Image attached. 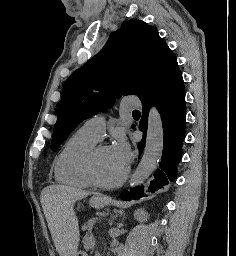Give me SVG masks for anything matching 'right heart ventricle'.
Wrapping results in <instances>:
<instances>
[{
  "instance_id": "e07e8e85",
  "label": "right heart ventricle",
  "mask_w": 236,
  "mask_h": 256,
  "mask_svg": "<svg viewBox=\"0 0 236 256\" xmlns=\"http://www.w3.org/2000/svg\"><path fill=\"white\" fill-rule=\"evenodd\" d=\"M96 140L80 129L67 141L55 161V180L59 184L88 189L93 187L89 156Z\"/></svg>"
}]
</instances>
